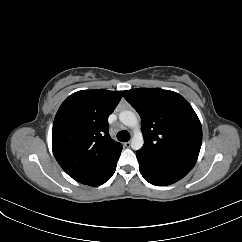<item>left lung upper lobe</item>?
Masks as SVG:
<instances>
[{
    "label": "left lung upper lobe",
    "instance_id": "1",
    "mask_svg": "<svg viewBox=\"0 0 242 242\" xmlns=\"http://www.w3.org/2000/svg\"><path fill=\"white\" fill-rule=\"evenodd\" d=\"M142 120V153L191 170L202 143V127L191 105L178 93L159 88L123 91Z\"/></svg>",
    "mask_w": 242,
    "mask_h": 242
}]
</instances>
